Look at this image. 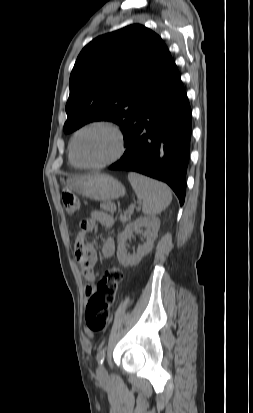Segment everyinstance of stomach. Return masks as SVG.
<instances>
[{
  "label": "stomach",
  "instance_id": "1",
  "mask_svg": "<svg viewBox=\"0 0 253 413\" xmlns=\"http://www.w3.org/2000/svg\"><path fill=\"white\" fill-rule=\"evenodd\" d=\"M69 190L96 201L117 199L125 194L121 182L107 174L78 176L66 182Z\"/></svg>",
  "mask_w": 253,
  "mask_h": 413
}]
</instances>
